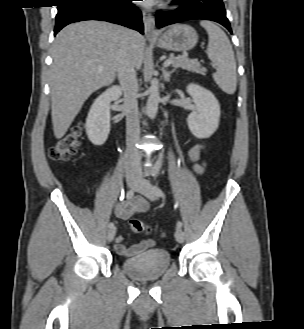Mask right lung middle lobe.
I'll return each instance as SVG.
<instances>
[{"instance_id": "obj_1", "label": "right lung middle lobe", "mask_w": 304, "mask_h": 329, "mask_svg": "<svg viewBox=\"0 0 304 329\" xmlns=\"http://www.w3.org/2000/svg\"><path fill=\"white\" fill-rule=\"evenodd\" d=\"M65 1H68V0H61V2H60V3H62V2H65Z\"/></svg>"}]
</instances>
